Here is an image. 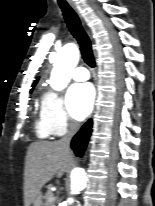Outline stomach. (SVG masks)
I'll return each instance as SVG.
<instances>
[{
    "label": "stomach",
    "mask_w": 155,
    "mask_h": 206,
    "mask_svg": "<svg viewBox=\"0 0 155 206\" xmlns=\"http://www.w3.org/2000/svg\"><path fill=\"white\" fill-rule=\"evenodd\" d=\"M33 206H43L42 203V194L39 192L33 200Z\"/></svg>",
    "instance_id": "0dacf381"
}]
</instances>
